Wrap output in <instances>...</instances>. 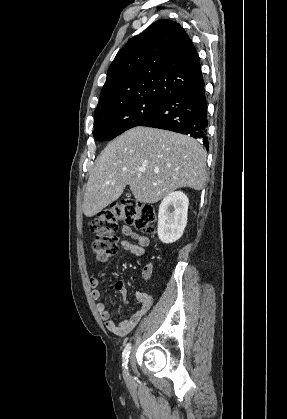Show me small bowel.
Masks as SVG:
<instances>
[{"label":"small bowel","mask_w":287,"mask_h":419,"mask_svg":"<svg viewBox=\"0 0 287 419\" xmlns=\"http://www.w3.org/2000/svg\"><path fill=\"white\" fill-rule=\"evenodd\" d=\"M121 232L124 236L132 238L137 241V243H131L128 240H121L120 246L123 250L130 252L136 257H141L144 254L145 247L149 244V239L144 236L136 233L133 231L130 227L124 226L121 229ZM151 275L150 268L145 269L143 276L144 279L147 280ZM103 276V274H102ZM100 282V278L96 275H92L89 279L90 286L92 287V297L95 300H98L100 298V291L98 290V285ZM111 288L119 292L124 299L127 301V290H126V284L124 281L120 280L115 282L111 285ZM134 298L139 301L140 306L138 309L129 316L126 320L116 323L113 321L110 317V312L107 310L105 304L103 302H97L96 303V309L100 315V318L104 321L106 328L116 334V335H125L129 333L140 321V319L146 314V312L149 310L152 304V298L151 296L144 292V291H135L134 292Z\"/></svg>","instance_id":"obj_1"}]
</instances>
